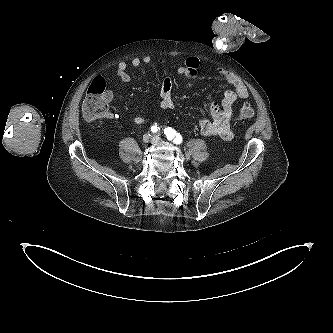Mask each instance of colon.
<instances>
[{"instance_id": "5ec220e1", "label": "colon", "mask_w": 333, "mask_h": 333, "mask_svg": "<svg viewBox=\"0 0 333 333\" xmlns=\"http://www.w3.org/2000/svg\"><path fill=\"white\" fill-rule=\"evenodd\" d=\"M106 83L102 77H96L90 84L83 102V115L89 121L104 118L108 112L105 98ZM254 117V110L249 104H244L238 112V119L242 122L250 121Z\"/></svg>"}]
</instances>
